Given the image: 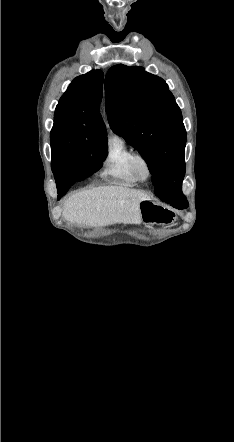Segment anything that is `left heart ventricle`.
<instances>
[{
	"label": "left heart ventricle",
	"mask_w": 234,
	"mask_h": 442,
	"mask_svg": "<svg viewBox=\"0 0 234 442\" xmlns=\"http://www.w3.org/2000/svg\"><path fill=\"white\" fill-rule=\"evenodd\" d=\"M137 167H138V171H139V173H140L142 176H146V174H147V169H146L145 164H144L142 161H139V162H138Z\"/></svg>",
	"instance_id": "obj_1"
}]
</instances>
